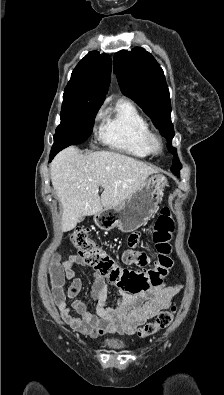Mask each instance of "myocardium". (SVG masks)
Wrapping results in <instances>:
<instances>
[{
	"instance_id": "1",
	"label": "myocardium",
	"mask_w": 224,
	"mask_h": 395,
	"mask_svg": "<svg viewBox=\"0 0 224 395\" xmlns=\"http://www.w3.org/2000/svg\"><path fill=\"white\" fill-rule=\"evenodd\" d=\"M145 143L150 153L154 155H160L163 153L162 139L150 130L146 134Z\"/></svg>"
}]
</instances>
